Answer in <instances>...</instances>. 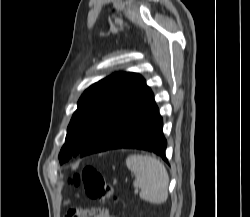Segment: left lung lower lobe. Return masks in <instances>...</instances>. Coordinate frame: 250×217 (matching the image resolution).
Returning a JSON list of instances; mask_svg holds the SVG:
<instances>
[{"instance_id": "1", "label": "left lung lower lobe", "mask_w": 250, "mask_h": 217, "mask_svg": "<svg viewBox=\"0 0 250 217\" xmlns=\"http://www.w3.org/2000/svg\"><path fill=\"white\" fill-rule=\"evenodd\" d=\"M162 126L154 95L143 80L80 157L130 148L154 152L167 162Z\"/></svg>"}]
</instances>
